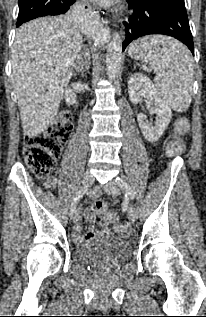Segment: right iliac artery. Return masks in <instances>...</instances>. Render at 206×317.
<instances>
[{"mask_svg":"<svg viewBox=\"0 0 206 317\" xmlns=\"http://www.w3.org/2000/svg\"><path fill=\"white\" fill-rule=\"evenodd\" d=\"M86 191H87V188H82L76 193L70 206L71 214H73V212L75 211L78 201L84 196Z\"/></svg>","mask_w":206,"mask_h":317,"instance_id":"1","label":"right iliac artery"}]
</instances>
